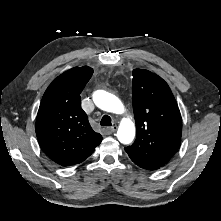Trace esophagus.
<instances>
[{
	"instance_id": "esophagus-1",
	"label": "esophagus",
	"mask_w": 221,
	"mask_h": 221,
	"mask_svg": "<svg viewBox=\"0 0 221 221\" xmlns=\"http://www.w3.org/2000/svg\"><path fill=\"white\" fill-rule=\"evenodd\" d=\"M117 126L115 125V126H112V127H109L108 128V131H110V132H115L116 130H117Z\"/></svg>"
}]
</instances>
